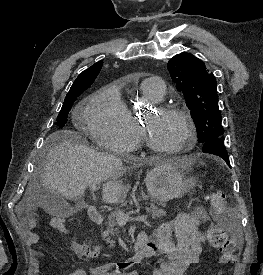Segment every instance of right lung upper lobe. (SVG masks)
I'll return each mask as SVG.
<instances>
[{
    "label": "right lung upper lobe",
    "mask_w": 263,
    "mask_h": 275,
    "mask_svg": "<svg viewBox=\"0 0 263 275\" xmlns=\"http://www.w3.org/2000/svg\"><path fill=\"white\" fill-rule=\"evenodd\" d=\"M103 65V61H99L83 71L74 81L73 85L70 88L68 94L76 92L78 90L87 89L89 88L94 80L96 79L98 73L101 70Z\"/></svg>",
    "instance_id": "right-lung-upper-lobe-1"
}]
</instances>
